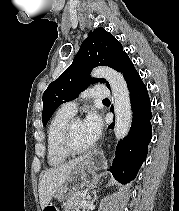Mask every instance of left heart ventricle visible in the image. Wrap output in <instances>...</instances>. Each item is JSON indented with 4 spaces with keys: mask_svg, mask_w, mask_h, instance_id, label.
Returning a JSON list of instances; mask_svg holds the SVG:
<instances>
[{
    "mask_svg": "<svg viewBox=\"0 0 179 211\" xmlns=\"http://www.w3.org/2000/svg\"><path fill=\"white\" fill-rule=\"evenodd\" d=\"M73 141L78 148H85L93 144V142L87 136L84 129L83 121L81 120L76 121L74 124Z\"/></svg>",
    "mask_w": 179,
    "mask_h": 211,
    "instance_id": "1",
    "label": "left heart ventricle"
}]
</instances>
